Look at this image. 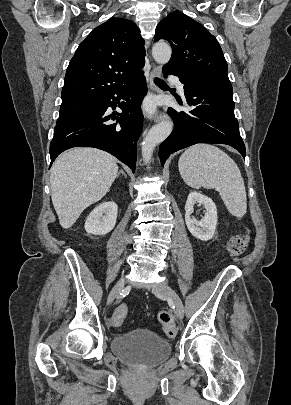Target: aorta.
Listing matches in <instances>:
<instances>
[{"mask_svg":"<svg viewBox=\"0 0 291 405\" xmlns=\"http://www.w3.org/2000/svg\"><path fill=\"white\" fill-rule=\"evenodd\" d=\"M171 54V47L166 42H157L152 48V56L160 64L168 63ZM172 128L171 121H163L149 130L142 142V157L145 163L151 161L154 148L170 135Z\"/></svg>","mask_w":291,"mask_h":405,"instance_id":"1","label":"aorta"}]
</instances>
